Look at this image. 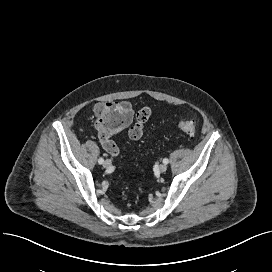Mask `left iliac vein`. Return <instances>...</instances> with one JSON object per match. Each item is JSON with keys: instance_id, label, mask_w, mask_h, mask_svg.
<instances>
[{"instance_id": "left-iliac-vein-1", "label": "left iliac vein", "mask_w": 272, "mask_h": 272, "mask_svg": "<svg viewBox=\"0 0 272 272\" xmlns=\"http://www.w3.org/2000/svg\"><path fill=\"white\" fill-rule=\"evenodd\" d=\"M166 170H167V165H166V164H161V165H159V171H160L161 173L166 172Z\"/></svg>"}]
</instances>
